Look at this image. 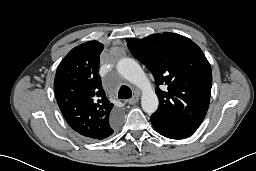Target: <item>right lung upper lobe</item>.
<instances>
[{
	"instance_id": "obj_1",
	"label": "right lung upper lobe",
	"mask_w": 256,
	"mask_h": 171,
	"mask_svg": "<svg viewBox=\"0 0 256 171\" xmlns=\"http://www.w3.org/2000/svg\"><path fill=\"white\" fill-rule=\"evenodd\" d=\"M103 44L89 41L73 48L59 64L54 92L70 127L90 140L113 134L110 121L118 112L107 99L98 74Z\"/></svg>"
}]
</instances>
